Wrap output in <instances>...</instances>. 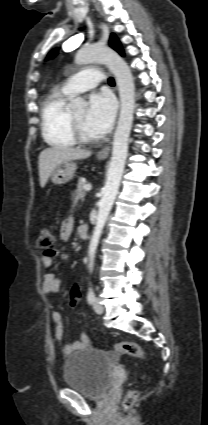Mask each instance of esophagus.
Returning a JSON list of instances; mask_svg holds the SVG:
<instances>
[{
	"label": "esophagus",
	"instance_id": "obj_1",
	"mask_svg": "<svg viewBox=\"0 0 208 425\" xmlns=\"http://www.w3.org/2000/svg\"><path fill=\"white\" fill-rule=\"evenodd\" d=\"M109 152H110V145L108 144L104 146L100 151H98L97 156L105 158L109 155Z\"/></svg>",
	"mask_w": 208,
	"mask_h": 425
}]
</instances>
